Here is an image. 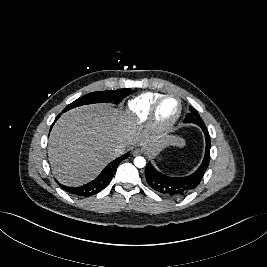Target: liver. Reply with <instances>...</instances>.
I'll return each instance as SVG.
<instances>
[{
	"label": "liver",
	"mask_w": 267,
	"mask_h": 267,
	"mask_svg": "<svg viewBox=\"0 0 267 267\" xmlns=\"http://www.w3.org/2000/svg\"><path fill=\"white\" fill-rule=\"evenodd\" d=\"M174 136H153L124 112L108 104L72 109L55 123L48 157L55 177L64 185L78 186L95 178L117 156L114 148L141 145L153 155L169 145L180 146Z\"/></svg>",
	"instance_id": "1"
}]
</instances>
